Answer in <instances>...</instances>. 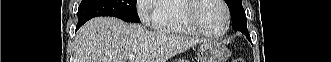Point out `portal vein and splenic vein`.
Instances as JSON below:
<instances>
[{
    "instance_id": "18ae733b",
    "label": "portal vein and splenic vein",
    "mask_w": 331,
    "mask_h": 62,
    "mask_svg": "<svg viewBox=\"0 0 331 62\" xmlns=\"http://www.w3.org/2000/svg\"><path fill=\"white\" fill-rule=\"evenodd\" d=\"M129 59H130V60H134V59H135V55H134V54H130V55H129Z\"/></svg>"
}]
</instances>
